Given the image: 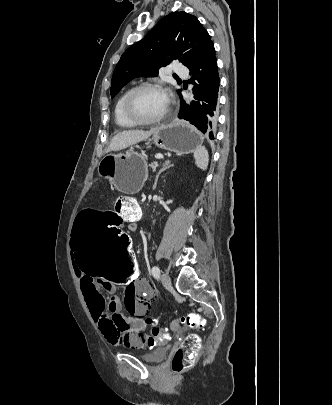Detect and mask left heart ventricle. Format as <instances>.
Here are the masks:
<instances>
[{"instance_id":"1","label":"left heart ventricle","mask_w":332,"mask_h":405,"mask_svg":"<svg viewBox=\"0 0 332 405\" xmlns=\"http://www.w3.org/2000/svg\"><path fill=\"white\" fill-rule=\"evenodd\" d=\"M168 107L163 92L147 89L139 92L132 102L134 114L142 119H153L162 115Z\"/></svg>"}]
</instances>
